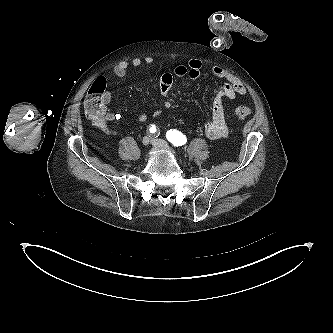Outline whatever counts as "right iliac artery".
I'll use <instances>...</instances> for the list:
<instances>
[{
  "label": "right iliac artery",
  "instance_id": "obj_1",
  "mask_svg": "<svg viewBox=\"0 0 333 333\" xmlns=\"http://www.w3.org/2000/svg\"><path fill=\"white\" fill-rule=\"evenodd\" d=\"M150 133L154 134L156 133L157 129L155 125H151V127L149 128Z\"/></svg>",
  "mask_w": 333,
  "mask_h": 333
}]
</instances>
